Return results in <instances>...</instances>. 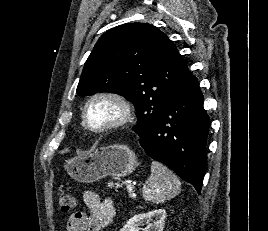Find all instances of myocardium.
Returning <instances> with one entry per match:
<instances>
[{"label":"myocardium","instance_id":"1","mask_svg":"<svg viewBox=\"0 0 268 231\" xmlns=\"http://www.w3.org/2000/svg\"><path fill=\"white\" fill-rule=\"evenodd\" d=\"M111 100L117 104L119 107L118 116L103 125L100 126H92L88 122L87 112L90 105L97 100ZM133 118V106L131 102L122 94L114 91H99L92 94L84 104L82 110V123L83 126L90 132L95 134H103L108 131L119 129L125 125H127Z\"/></svg>","mask_w":268,"mask_h":231}]
</instances>
